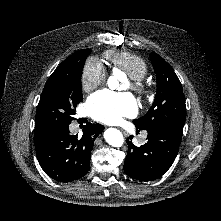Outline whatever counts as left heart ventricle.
Wrapping results in <instances>:
<instances>
[{
	"label": "left heart ventricle",
	"mask_w": 221,
	"mask_h": 221,
	"mask_svg": "<svg viewBox=\"0 0 221 221\" xmlns=\"http://www.w3.org/2000/svg\"><path fill=\"white\" fill-rule=\"evenodd\" d=\"M129 87H130V84L127 83V84L124 85L123 89H124V90H127Z\"/></svg>",
	"instance_id": "b2bd125f"
}]
</instances>
